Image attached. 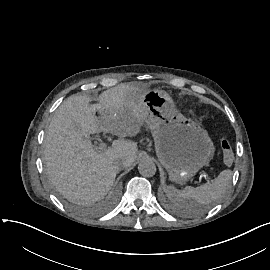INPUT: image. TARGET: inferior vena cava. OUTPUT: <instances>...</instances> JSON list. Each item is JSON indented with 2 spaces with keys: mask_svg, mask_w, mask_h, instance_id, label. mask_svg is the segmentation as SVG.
<instances>
[{
  "mask_svg": "<svg viewBox=\"0 0 270 270\" xmlns=\"http://www.w3.org/2000/svg\"><path fill=\"white\" fill-rule=\"evenodd\" d=\"M122 166L127 167V165H126V163H125V162L122 164Z\"/></svg>",
  "mask_w": 270,
  "mask_h": 270,
  "instance_id": "1",
  "label": "inferior vena cava"
}]
</instances>
